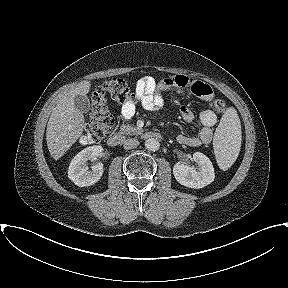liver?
<instances>
[{
  "instance_id": "6515ba94",
  "label": "liver",
  "mask_w": 288,
  "mask_h": 288,
  "mask_svg": "<svg viewBox=\"0 0 288 288\" xmlns=\"http://www.w3.org/2000/svg\"><path fill=\"white\" fill-rule=\"evenodd\" d=\"M90 86V81L80 82L59 100L50 115L46 141L50 155L55 160L60 159L83 133L85 119L82 112L75 107L74 97L86 96Z\"/></svg>"
}]
</instances>
